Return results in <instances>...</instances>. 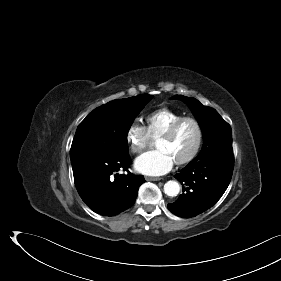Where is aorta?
<instances>
[{"label": "aorta", "instance_id": "aorta-1", "mask_svg": "<svg viewBox=\"0 0 281 281\" xmlns=\"http://www.w3.org/2000/svg\"><path fill=\"white\" fill-rule=\"evenodd\" d=\"M180 192V185L178 182L170 180L164 185V193L168 196H177Z\"/></svg>", "mask_w": 281, "mask_h": 281}]
</instances>
